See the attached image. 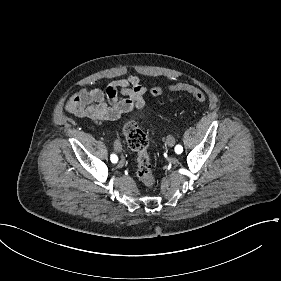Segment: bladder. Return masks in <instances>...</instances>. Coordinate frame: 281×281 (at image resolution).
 <instances>
[{"mask_svg":"<svg viewBox=\"0 0 281 281\" xmlns=\"http://www.w3.org/2000/svg\"><path fill=\"white\" fill-rule=\"evenodd\" d=\"M148 114L149 111L146 106H139L131 116L133 119L140 121L146 118Z\"/></svg>","mask_w":281,"mask_h":281,"instance_id":"1","label":"bladder"}]
</instances>
